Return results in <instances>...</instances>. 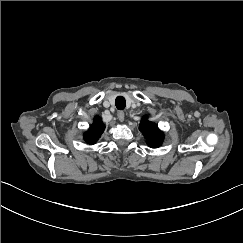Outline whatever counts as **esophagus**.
I'll return each instance as SVG.
<instances>
[{
	"instance_id": "1",
	"label": "esophagus",
	"mask_w": 243,
	"mask_h": 243,
	"mask_svg": "<svg viewBox=\"0 0 243 243\" xmlns=\"http://www.w3.org/2000/svg\"><path fill=\"white\" fill-rule=\"evenodd\" d=\"M117 117H118V119H119L120 122H123L124 119H125V114H124V112H123V111H119V112L117 113Z\"/></svg>"
}]
</instances>
